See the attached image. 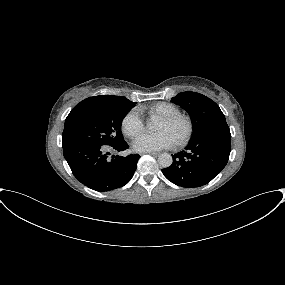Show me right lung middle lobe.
<instances>
[{
  "instance_id": "dd1d6c3e",
  "label": "right lung middle lobe",
  "mask_w": 285,
  "mask_h": 285,
  "mask_svg": "<svg viewBox=\"0 0 285 285\" xmlns=\"http://www.w3.org/2000/svg\"><path fill=\"white\" fill-rule=\"evenodd\" d=\"M135 102L95 106L78 111L65 120L63 145L88 143L113 146L124 142L121 124Z\"/></svg>"
}]
</instances>
